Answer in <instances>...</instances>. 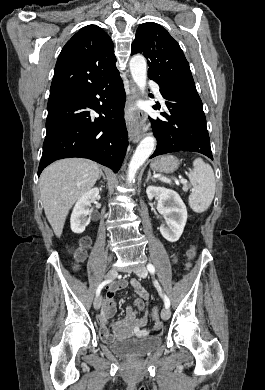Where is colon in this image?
Instances as JSON below:
<instances>
[{
    "label": "colon",
    "instance_id": "5ec220e1",
    "mask_svg": "<svg viewBox=\"0 0 265 390\" xmlns=\"http://www.w3.org/2000/svg\"><path fill=\"white\" fill-rule=\"evenodd\" d=\"M89 243H90L89 238L85 237V238L81 239L79 245L73 250V255H74L76 262L80 263L84 260V258L86 256V249L89 246ZM194 256H195V252L193 250H191L189 252L190 259H193ZM151 314H152V317L156 323V326H159L160 325L159 309L157 307H153Z\"/></svg>",
    "mask_w": 265,
    "mask_h": 390
}]
</instances>
